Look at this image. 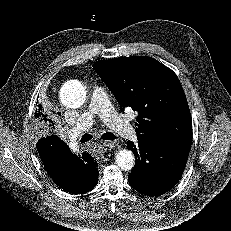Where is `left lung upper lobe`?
I'll use <instances>...</instances> for the list:
<instances>
[{
    "mask_svg": "<svg viewBox=\"0 0 231 231\" xmlns=\"http://www.w3.org/2000/svg\"><path fill=\"white\" fill-rule=\"evenodd\" d=\"M93 68L122 107L138 112L139 142L189 152L192 119L176 74L152 57L101 60Z\"/></svg>",
    "mask_w": 231,
    "mask_h": 231,
    "instance_id": "1",
    "label": "left lung upper lobe"
}]
</instances>
